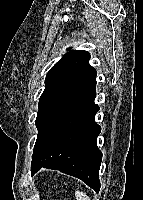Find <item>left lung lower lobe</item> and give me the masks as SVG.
Masks as SVG:
<instances>
[{"instance_id":"obj_1","label":"left lung lower lobe","mask_w":143,"mask_h":200,"mask_svg":"<svg viewBox=\"0 0 143 200\" xmlns=\"http://www.w3.org/2000/svg\"><path fill=\"white\" fill-rule=\"evenodd\" d=\"M96 70L89 64L38 112V136L31 173L56 169L100 189L102 153L97 147L101 127L95 122Z\"/></svg>"}]
</instances>
